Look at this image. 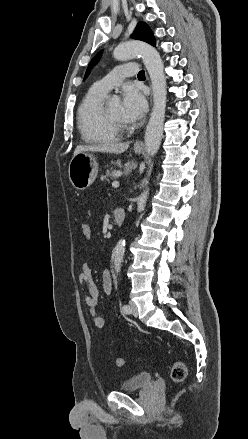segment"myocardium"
Returning <instances> with one entry per match:
<instances>
[{
  "label": "myocardium",
  "instance_id": "myocardium-1",
  "mask_svg": "<svg viewBox=\"0 0 248 439\" xmlns=\"http://www.w3.org/2000/svg\"><path fill=\"white\" fill-rule=\"evenodd\" d=\"M102 118L105 124L115 132L124 133L131 129L129 123H123L113 119L107 112L106 107H102Z\"/></svg>",
  "mask_w": 248,
  "mask_h": 439
}]
</instances>
